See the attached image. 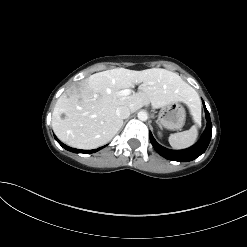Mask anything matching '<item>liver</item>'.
Returning a JSON list of instances; mask_svg holds the SVG:
<instances>
[{
    "label": "liver",
    "instance_id": "obj_1",
    "mask_svg": "<svg viewBox=\"0 0 247 247\" xmlns=\"http://www.w3.org/2000/svg\"><path fill=\"white\" fill-rule=\"evenodd\" d=\"M140 83L137 93L118 95ZM175 102H184L190 108L198 103L194 89L177 73L161 68H115L95 73L66 90L54 107L52 128L67 145L93 149L108 143L121 128L118 107L127 106L135 112L149 104L158 109Z\"/></svg>",
    "mask_w": 247,
    "mask_h": 247
}]
</instances>
